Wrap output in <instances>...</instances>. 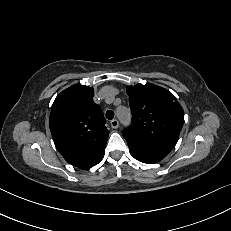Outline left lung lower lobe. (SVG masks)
I'll list each match as a JSON object with an SVG mask.
<instances>
[{"mask_svg":"<svg viewBox=\"0 0 231 231\" xmlns=\"http://www.w3.org/2000/svg\"><path fill=\"white\" fill-rule=\"evenodd\" d=\"M129 151L131 153V155L138 161L143 162V163H148V164H152V163H156L162 159L157 158V157H151L148 155H144L139 153L138 151H135L131 148H129Z\"/></svg>","mask_w":231,"mask_h":231,"instance_id":"1","label":"left lung lower lobe"}]
</instances>
